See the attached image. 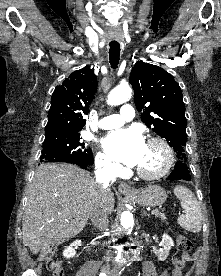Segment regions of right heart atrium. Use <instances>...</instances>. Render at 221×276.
Listing matches in <instances>:
<instances>
[{"label":"right heart atrium","instance_id":"obj_1","mask_svg":"<svg viewBox=\"0 0 221 276\" xmlns=\"http://www.w3.org/2000/svg\"><path fill=\"white\" fill-rule=\"evenodd\" d=\"M95 164L97 169L108 176H117L121 172L119 164L110 159L105 153L98 152L95 157Z\"/></svg>","mask_w":221,"mask_h":276}]
</instances>
